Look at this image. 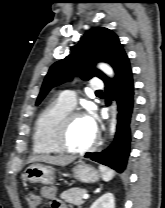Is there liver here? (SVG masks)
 Segmentation results:
<instances>
[{
	"label": "liver",
	"mask_w": 165,
	"mask_h": 208,
	"mask_svg": "<svg viewBox=\"0 0 165 208\" xmlns=\"http://www.w3.org/2000/svg\"><path fill=\"white\" fill-rule=\"evenodd\" d=\"M75 160L74 157H67V156H49V155H39L34 156L30 159L29 162H45L52 165H58V166H65L70 164Z\"/></svg>",
	"instance_id": "1"
}]
</instances>
